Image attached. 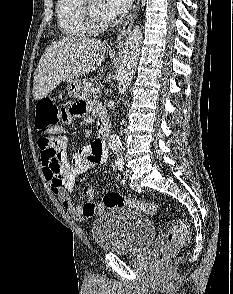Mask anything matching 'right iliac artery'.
<instances>
[{
	"label": "right iliac artery",
	"mask_w": 233,
	"mask_h": 294,
	"mask_svg": "<svg viewBox=\"0 0 233 294\" xmlns=\"http://www.w3.org/2000/svg\"><path fill=\"white\" fill-rule=\"evenodd\" d=\"M115 165H116V168L118 169V170H122L123 169V162H115Z\"/></svg>",
	"instance_id": "82829eb1"
}]
</instances>
